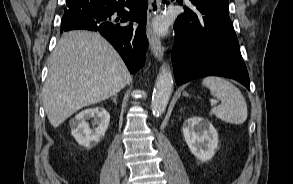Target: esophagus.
Listing matches in <instances>:
<instances>
[{"instance_id":"1","label":"esophagus","mask_w":293,"mask_h":184,"mask_svg":"<svg viewBox=\"0 0 293 184\" xmlns=\"http://www.w3.org/2000/svg\"><path fill=\"white\" fill-rule=\"evenodd\" d=\"M161 11L160 1L159 0H148V29L147 37L149 40L151 53L158 59L161 60L163 56V48L161 45L160 38L154 32L152 28L153 19Z\"/></svg>"}]
</instances>
